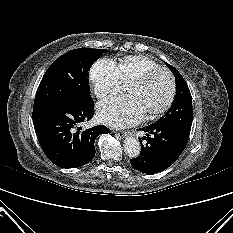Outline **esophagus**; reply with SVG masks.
Here are the masks:
<instances>
[{"instance_id":"esophagus-1","label":"esophagus","mask_w":233,"mask_h":233,"mask_svg":"<svg viewBox=\"0 0 233 233\" xmlns=\"http://www.w3.org/2000/svg\"><path fill=\"white\" fill-rule=\"evenodd\" d=\"M131 134L130 131H119L118 132V135L121 137V138H124L126 137L127 135Z\"/></svg>"}]
</instances>
